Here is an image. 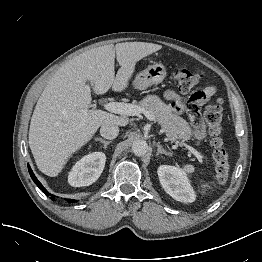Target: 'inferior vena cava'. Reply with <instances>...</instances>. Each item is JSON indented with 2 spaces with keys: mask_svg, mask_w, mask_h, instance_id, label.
<instances>
[{
  "mask_svg": "<svg viewBox=\"0 0 262 262\" xmlns=\"http://www.w3.org/2000/svg\"><path fill=\"white\" fill-rule=\"evenodd\" d=\"M100 134L106 139H115L119 134V127L111 123L103 124L100 128Z\"/></svg>",
  "mask_w": 262,
  "mask_h": 262,
  "instance_id": "obj_1",
  "label": "inferior vena cava"
}]
</instances>
